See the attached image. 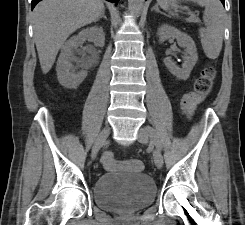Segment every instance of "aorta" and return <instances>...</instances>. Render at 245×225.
<instances>
[{
  "label": "aorta",
  "instance_id": "obj_1",
  "mask_svg": "<svg viewBox=\"0 0 245 225\" xmlns=\"http://www.w3.org/2000/svg\"><path fill=\"white\" fill-rule=\"evenodd\" d=\"M144 0H128L129 10L135 14L139 15L143 9Z\"/></svg>",
  "mask_w": 245,
  "mask_h": 225
}]
</instances>
